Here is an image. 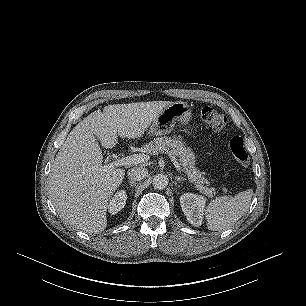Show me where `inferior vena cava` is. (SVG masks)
Returning a JSON list of instances; mask_svg holds the SVG:
<instances>
[{
  "instance_id": "602c4592",
  "label": "inferior vena cava",
  "mask_w": 306,
  "mask_h": 306,
  "mask_svg": "<svg viewBox=\"0 0 306 306\" xmlns=\"http://www.w3.org/2000/svg\"><path fill=\"white\" fill-rule=\"evenodd\" d=\"M148 174V170L143 167H133L128 170L127 176L131 181H140Z\"/></svg>"
}]
</instances>
